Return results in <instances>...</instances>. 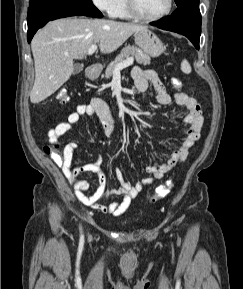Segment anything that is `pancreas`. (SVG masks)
<instances>
[{
    "label": "pancreas",
    "mask_w": 243,
    "mask_h": 289,
    "mask_svg": "<svg viewBox=\"0 0 243 289\" xmlns=\"http://www.w3.org/2000/svg\"><path fill=\"white\" fill-rule=\"evenodd\" d=\"M130 56H134L138 64L149 65L151 63L149 55L145 54L141 49L135 46L128 45L124 47L114 61L107 66L104 77L109 79L113 75L115 67Z\"/></svg>",
    "instance_id": "obj_1"
}]
</instances>
